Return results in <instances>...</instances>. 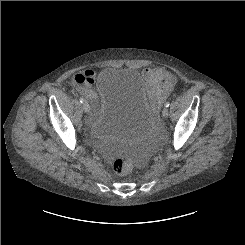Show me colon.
Instances as JSON below:
<instances>
[{"instance_id": "colon-1", "label": "colon", "mask_w": 245, "mask_h": 245, "mask_svg": "<svg viewBox=\"0 0 245 245\" xmlns=\"http://www.w3.org/2000/svg\"><path fill=\"white\" fill-rule=\"evenodd\" d=\"M79 80L81 82H85L86 80H88V78L81 77ZM113 169L116 174L127 175L133 169V161L131 158H127V157L117 158L113 163Z\"/></svg>"}]
</instances>
